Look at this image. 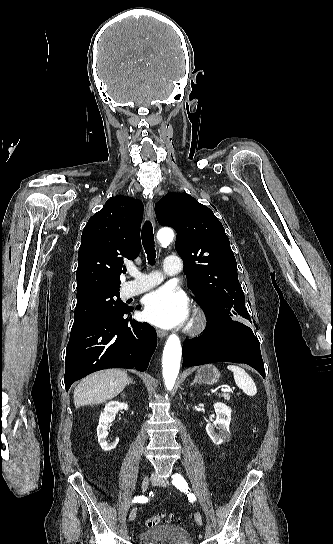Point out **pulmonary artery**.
I'll use <instances>...</instances> for the list:
<instances>
[{
	"label": "pulmonary artery",
	"instance_id": "obj_1",
	"mask_svg": "<svg viewBox=\"0 0 333 544\" xmlns=\"http://www.w3.org/2000/svg\"><path fill=\"white\" fill-rule=\"evenodd\" d=\"M181 266V259L178 256L170 255L164 260L163 271L167 275H175L180 272ZM133 276L135 280L129 282L126 286L127 296H135L145 292L160 284L164 279L163 274L157 271L150 274L134 272Z\"/></svg>",
	"mask_w": 333,
	"mask_h": 544
}]
</instances>
